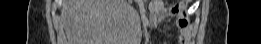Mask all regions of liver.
Masks as SVG:
<instances>
[{"mask_svg": "<svg viewBox=\"0 0 261 44\" xmlns=\"http://www.w3.org/2000/svg\"><path fill=\"white\" fill-rule=\"evenodd\" d=\"M126 0H63L61 17L72 44H138L139 24L135 8ZM139 41V40H138Z\"/></svg>", "mask_w": 261, "mask_h": 44, "instance_id": "liver-1", "label": "liver"}]
</instances>
